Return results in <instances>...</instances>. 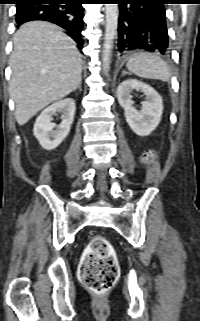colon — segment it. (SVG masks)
Listing matches in <instances>:
<instances>
[{
    "label": "colon",
    "instance_id": "colon-1",
    "mask_svg": "<svg viewBox=\"0 0 200 321\" xmlns=\"http://www.w3.org/2000/svg\"><path fill=\"white\" fill-rule=\"evenodd\" d=\"M153 157L146 153L143 161L148 163ZM80 279L91 291L103 293L116 281L119 275L115 251L103 236H95L89 243L80 265Z\"/></svg>",
    "mask_w": 200,
    "mask_h": 321
}]
</instances>
